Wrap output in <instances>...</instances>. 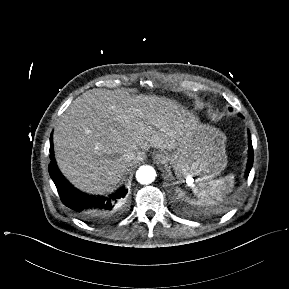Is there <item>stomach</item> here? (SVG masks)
Instances as JSON below:
<instances>
[{"label":"stomach","instance_id":"1","mask_svg":"<svg viewBox=\"0 0 289 289\" xmlns=\"http://www.w3.org/2000/svg\"><path fill=\"white\" fill-rule=\"evenodd\" d=\"M225 143L223 132L194 118L170 156V164L177 176L212 179L221 174L227 165Z\"/></svg>","mask_w":289,"mask_h":289}]
</instances>
